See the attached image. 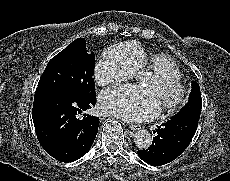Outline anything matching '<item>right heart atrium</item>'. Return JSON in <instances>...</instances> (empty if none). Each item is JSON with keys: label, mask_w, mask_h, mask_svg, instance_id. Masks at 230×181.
<instances>
[{"label": "right heart atrium", "mask_w": 230, "mask_h": 181, "mask_svg": "<svg viewBox=\"0 0 230 181\" xmlns=\"http://www.w3.org/2000/svg\"><path fill=\"white\" fill-rule=\"evenodd\" d=\"M129 75L120 59L109 53L95 69V79L99 85H118Z\"/></svg>", "instance_id": "d8ad5b80"}]
</instances>
